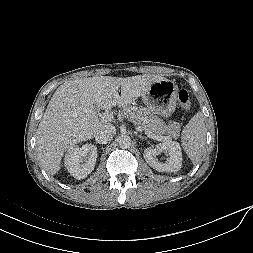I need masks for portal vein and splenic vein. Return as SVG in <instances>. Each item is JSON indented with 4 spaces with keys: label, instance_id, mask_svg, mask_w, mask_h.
<instances>
[{
    "label": "portal vein and splenic vein",
    "instance_id": "1",
    "mask_svg": "<svg viewBox=\"0 0 253 253\" xmlns=\"http://www.w3.org/2000/svg\"><path fill=\"white\" fill-rule=\"evenodd\" d=\"M101 119L102 120H105V121H111L113 119V113L109 112V111H106L102 116H101ZM145 134L151 138V139H155V140H158V141H162V140H169L170 138L167 136V137H164V136H157V135H154L151 131H145Z\"/></svg>",
    "mask_w": 253,
    "mask_h": 253
}]
</instances>
